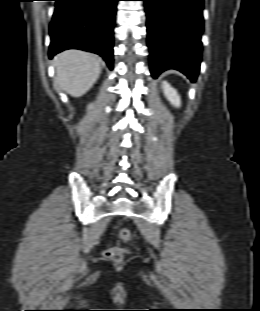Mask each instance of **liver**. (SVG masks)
I'll return each mask as SVG.
<instances>
[{
	"mask_svg": "<svg viewBox=\"0 0 260 311\" xmlns=\"http://www.w3.org/2000/svg\"><path fill=\"white\" fill-rule=\"evenodd\" d=\"M53 65L56 68V84L73 97L85 94L101 73L99 57L81 50L58 54Z\"/></svg>",
	"mask_w": 260,
	"mask_h": 311,
	"instance_id": "6515ba94",
	"label": "liver"
}]
</instances>
